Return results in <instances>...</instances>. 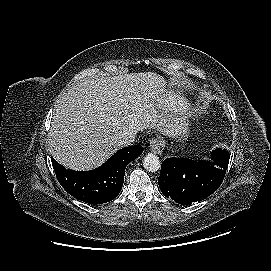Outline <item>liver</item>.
<instances>
[{"mask_svg":"<svg viewBox=\"0 0 271 271\" xmlns=\"http://www.w3.org/2000/svg\"><path fill=\"white\" fill-rule=\"evenodd\" d=\"M167 81L154 72L114 77H88L77 82L55 104L49 132L51 155L69 169L86 171L101 166L119 148L124 132L175 127L157 101Z\"/></svg>","mask_w":271,"mask_h":271,"instance_id":"liver-1","label":"liver"}]
</instances>
